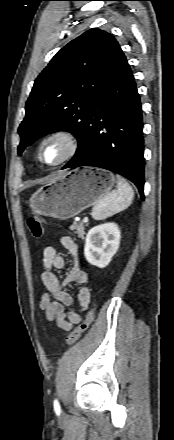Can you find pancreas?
I'll list each match as a JSON object with an SVG mask.
<instances>
[{
  "mask_svg": "<svg viewBox=\"0 0 174 440\" xmlns=\"http://www.w3.org/2000/svg\"><path fill=\"white\" fill-rule=\"evenodd\" d=\"M86 226H88V223H84L82 221L74 222L70 229L74 231V233L77 234L80 239H84Z\"/></svg>",
  "mask_w": 174,
  "mask_h": 440,
  "instance_id": "obj_1",
  "label": "pancreas"
}]
</instances>
